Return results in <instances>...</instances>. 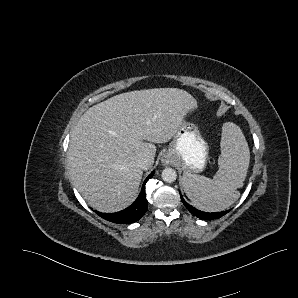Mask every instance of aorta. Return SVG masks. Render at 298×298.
I'll list each match as a JSON object with an SVG mask.
<instances>
[{
    "mask_svg": "<svg viewBox=\"0 0 298 298\" xmlns=\"http://www.w3.org/2000/svg\"><path fill=\"white\" fill-rule=\"evenodd\" d=\"M161 178L166 183H172L177 178V171L172 167H166L161 172Z\"/></svg>",
    "mask_w": 298,
    "mask_h": 298,
    "instance_id": "aorta-1",
    "label": "aorta"
}]
</instances>
